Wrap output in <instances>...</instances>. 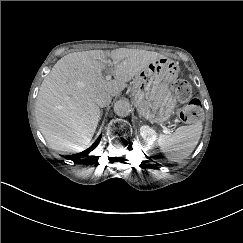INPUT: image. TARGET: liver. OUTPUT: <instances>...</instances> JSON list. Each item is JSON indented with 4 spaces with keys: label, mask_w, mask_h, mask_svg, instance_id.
<instances>
[{
    "label": "liver",
    "mask_w": 243,
    "mask_h": 243,
    "mask_svg": "<svg viewBox=\"0 0 243 243\" xmlns=\"http://www.w3.org/2000/svg\"><path fill=\"white\" fill-rule=\"evenodd\" d=\"M115 80L102 77L106 54L103 50L65 55L44 78L35 104L38 127L54 150L80 152L87 147L100 119L95 103L98 93L115 96L126 82L150 62L164 57L146 50L119 48L110 52Z\"/></svg>",
    "instance_id": "liver-1"
}]
</instances>
